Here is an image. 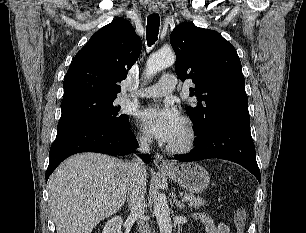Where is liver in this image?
Returning <instances> with one entry per match:
<instances>
[{
    "instance_id": "1",
    "label": "liver",
    "mask_w": 306,
    "mask_h": 233,
    "mask_svg": "<svg viewBox=\"0 0 306 233\" xmlns=\"http://www.w3.org/2000/svg\"><path fill=\"white\" fill-rule=\"evenodd\" d=\"M128 165L98 153L77 154L62 162L48 180L57 233H91L120 210L126 200Z\"/></svg>"
}]
</instances>
